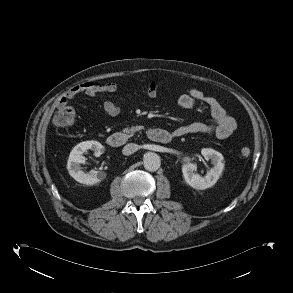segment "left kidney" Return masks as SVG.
I'll use <instances>...</instances> for the list:
<instances>
[{
    "mask_svg": "<svg viewBox=\"0 0 293 293\" xmlns=\"http://www.w3.org/2000/svg\"><path fill=\"white\" fill-rule=\"evenodd\" d=\"M201 154L205 160H211L213 164V167L204 177L194 173L195 165L193 163L182 165V173L186 183L196 190H205L212 187L219 179L224 168L223 155L218 151L204 148L201 150Z\"/></svg>",
    "mask_w": 293,
    "mask_h": 293,
    "instance_id": "1",
    "label": "left kidney"
}]
</instances>
